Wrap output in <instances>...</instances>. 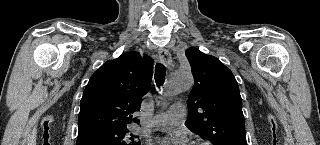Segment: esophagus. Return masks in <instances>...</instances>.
Masks as SVG:
<instances>
[{
    "mask_svg": "<svg viewBox=\"0 0 320 145\" xmlns=\"http://www.w3.org/2000/svg\"><path fill=\"white\" fill-rule=\"evenodd\" d=\"M160 60L166 65L170 66L172 63L171 54L166 48H160L158 50Z\"/></svg>",
    "mask_w": 320,
    "mask_h": 145,
    "instance_id": "34e87169",
    "label": "esophagus"
}]
</instances>
